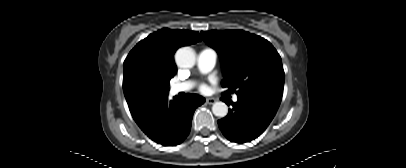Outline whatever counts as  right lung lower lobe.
<instances>
[{"label": "right lung lower lobe", "instance_id": "1", "mask_svg": "<svg viewBox=\"0 0 406 168\" xmlns=\"http://www.w3.org/2000/svg\"><path fill=\"white\" fill-rule=\"evenodd\" d=\"M205 99L197 94L187 98L168 101V96L149 105L133 118L141 130L153 141L164 146L180 144L188 136L193 113Z\"/></svg>", "mask_w": 406, "mask_h": 168}]
</instances>
